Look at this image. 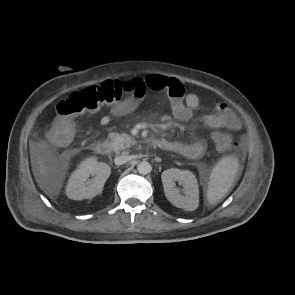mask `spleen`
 Returning a JSON list of instances; mask_svg holds the SVG:
<instances>
[{"label": "spleen", "mask_w": 295, "mask_h": 295, "mask_svg": "<svg viewBox=\"0 0 295 295\" xmlns=\"http://www.w3.org/2000/svg\"><path fill=\"white\" fill-rule=\"evenodd\" d=\"M238 171V161L231 157H224L212 169L208 181L207 200L209 204L218 202L231 187Z\"/></svg>", "instance_id": "3e777b00"}]
</instances>
